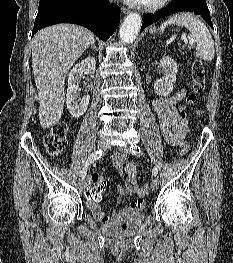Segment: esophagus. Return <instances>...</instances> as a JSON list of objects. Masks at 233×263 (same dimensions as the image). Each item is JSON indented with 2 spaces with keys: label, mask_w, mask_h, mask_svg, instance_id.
<instances>
[{
  "label": "esophagus",
  "mask_w": 233,
  "mask_h": 263,
  "mask_svg": "<svg viewBox=\"0 0 233 263\" xmlns=\"http://www.w3.org/2000/svg\"><path fill=\"white\" fill-rule=\"evenodd\" d=\"M122 12H123L124 14H128V13L130 12V10L127 9V8H125V7H123V8H122Z\"/></svg>",
  "instance_id": "1"
}]
</instances>
